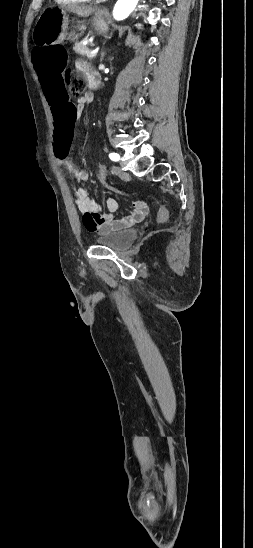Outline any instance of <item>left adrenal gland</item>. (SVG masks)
<instances>
[{"mask_svg":"<svg viewBox=\"0 0 253 548\" xmlns=\"http://www.w3.org/2000/svg\"><path fill=\"white\" fill-rule=\"evenodd\" d=\"M104 57H105V53H104V52H102V53H101V60H103V59H104Z\"/></svg>","mask_w":253,"mask_h":548,"instance_id":"obj_1","label":"left adrenal gland"}]
</instances>
